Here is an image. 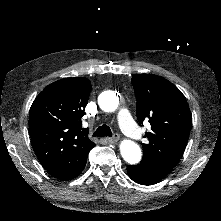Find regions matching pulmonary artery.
<instances>
[{"label":"pulmonary artery","instance_id":"obj_1","mask_svg":"<svg viewBox=\"0 0 221 221\" xmlns=\"http://www.w3.org/2000/svg\"><path fill=\"white\" fill-rule=\"evenodd\" d=\"M119 122H120L124 132H126L132 136H136L139 134V132H140L139 127L132 124V121H131L128 114H126V113L121 114L119 117Z\"/></svg>","mask_w":221,"mask_h":221}]
</instances>
